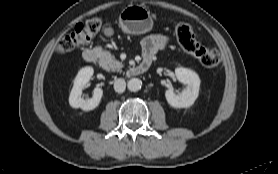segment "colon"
Returning <instances> with one entry per match:
<instances>
[{
  "label": "colon",
  "mask_w": 278,
  "mask_h": 174,
  "mask_svg": "<svg viewBox=\"0 0 278 174\" xmlns=\"http://www.w3.org/2000/svg\"><path fill=\"white\" fill-rule=\"evenodd\" d=\"M102 20L99 17L87 19L78 23L59 42L57 52L69 53L90 43L93 36L101 29ZM176 38L180 47L194 56L205 67H215L221 62V54L217 49H208L200 44L194 35L192 27L187 23H179L176 27Z\"/></svg>",
  "instance_id": "colon-1"
}]
</instances>
